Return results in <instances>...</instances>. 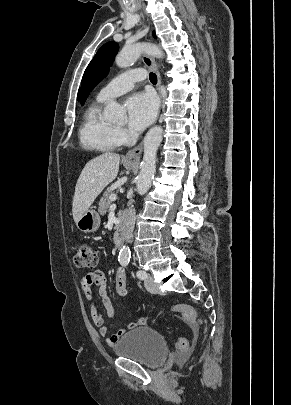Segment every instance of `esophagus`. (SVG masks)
Masks as SVG:
<instances>
[{"instance_id": "obj_1", "label": "esophagus", "mask_w": 291, "mask_h": 405, "mask_svg": "<svg viewBox=\"0 0 291 405\" xmlns=\"http://www.w3.org/2000/svg\"><path fill=\"white\" fill-rule=\"evenodd\" d=\"M142 60L145 64V66L157 75V90H158L160 98L162 99V93H161L162 78H161V74L157 68L155 59L152 56L144 55ZM162 107H163V105H162ZM142 149H143V142H141L137 147L128 151L125 155V158L126 159L139 158L142 153Z\"/></svg>"}]
</instances>
